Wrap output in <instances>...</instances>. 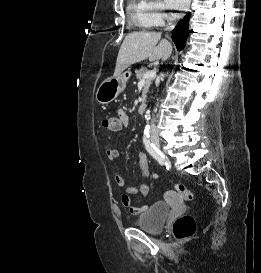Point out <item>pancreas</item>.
<instances>
[{
	"label": "pancreas",
	"mask_w": 261,
	"mask_h": 273,
	"mask_svg": "<svg viewBox=\"0 0 261 273\" xmlns=\"http://www.w3.org/2000/svg\"><path fill=\"white\" fill-rule=\"evenodd\" d=\"M147 72H148V69L146 67H142L141 69L135 70L137 79H139V80L143 79L144 74ZM153 80H154V77L146 79L145 86H144L143 93H142L143 100L146 99V94H147L149 87H150Z\"/></svg>",
	"instance_id": "1"
}]
</instances>
